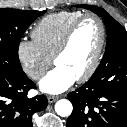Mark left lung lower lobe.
I'll use <instances>...</instances> for the list:
<instances>
[{"instance_id": "0a47b994", "label": "left lung lower lobe", "mask_w": 127, "mask_h": 127, "mask_svg": "<svg viewBox=\"0 0 127 127\" xmlns=\"http://www.w3.org/2000/svg\"><path fill=\"white\" fill-rule=\"evenodd\" d=\"M67 97L73 104L67 127H127V55L96 70Z\"/></svg>"}]
</instances>
